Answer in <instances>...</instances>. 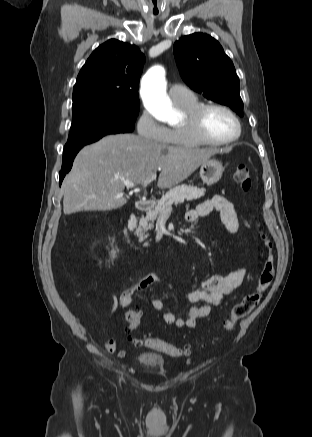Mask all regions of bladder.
<instances>
[{"instance_id":"1","label":"bladder","mask_w":312,"mask_h":437,"mask_svg":"<svg viewBox=\"0 0 312 437\" xmlns=\"http://www.w3.org/2000/svg\"><path fill=\"white\" fill-rule=\"evenodd\" d=\"M138 361L145 367L159 368L163 365V356L155 352H142L138 356Z\"/></svg>"}]
</instances>
